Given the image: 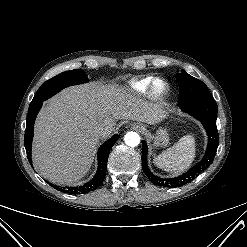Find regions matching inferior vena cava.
Returning a JSON list of instances; mask_svg holds the SVG:
<instances>
[{
    "label": "inferior vena cava",
    "instance_id": "inferior-vena-cava-1",
    "mask_svg": "<svg viewBox=\"0 0 247 247\" xmlns=\"http://www.w3.org/2000/svg\"><path fill=\"white\" fill-rule=\"evenodd\" d=\"M108 127L105 126L104 124H98L95 128H94V132L97 136H105L108 132Z\"/></svg>",
    "mask_w": 247,
    "mask_h": 247
}]
</instances>
